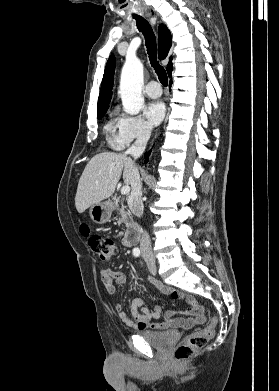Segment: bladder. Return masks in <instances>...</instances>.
I'll return each instance as SVG.
<instances>
[{
	"label": "bladder",
	"mask_w": 279,
	"mask_h": 391,
	"mask_svg": "<svg viewBox=\"0 0 279 391\" xmlns=\"http://www.w3.org/2000/svg\"><path fill=\"white\" fill-rule=\"evenodd\" d=\"M138 335L151 346L165 349L178 338L179 332L176 330L140 331Z\"/></svg>",
	"instance_id": "obj_1"
}]
</instances>
